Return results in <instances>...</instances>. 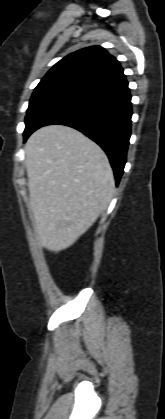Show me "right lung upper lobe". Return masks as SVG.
Masks as SVG:
<instances>
[{"instance_id":"obj_1","label":"right lung upper lobe","mask_w":165,"mask_h":419,"mask_svg":"<svg viewBox=\"0 0 165 419\" xmlns=\"http://www.w3.org/2000/svg\"><path fill=\"white\" fill-rule=\"evenodd\" d=\"M124 78L119 62L104 48L92 46L56 63L35 89L62 87L85 95Z\"/></svg>"}]
</instances>
